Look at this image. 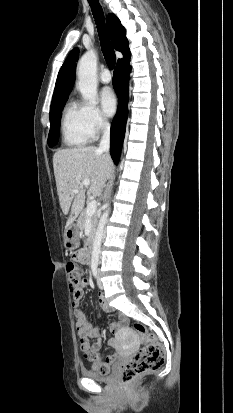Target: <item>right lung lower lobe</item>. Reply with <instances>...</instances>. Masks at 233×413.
Masks as SVG:
<instances>
[{
    "label": "right lung lower lobe",
    "instance_id": "right-lung-lower-lobe-1",
    "mask_svg": "<svg viewBox=\"0 0 233 413\" xmlns=\"http://www.w3.org/2000/svg\"><path fill=\"white\" fill-rule=\"evenodd\" d=\"M129 61L130 53L118 60L113 73V86L119 98V108L112 121L110 134V154L115 164L119 160L128 115Z\"/></svg>",
    "mask_w": 233,
    "mask_h": 413
}]
</instances>
